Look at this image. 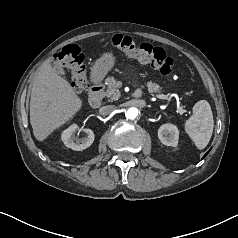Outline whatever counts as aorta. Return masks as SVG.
I'll use <instances>...</instances> for the list:
<instances>
[{
    "mask_svg": "<svg viewBox=\"0 0 238 238\" xmlns=\"http://www.w3.org/2000/svg\"><path fill=\"white\" fill-rule=\"evenodd\" d=\"M139 114V110L135 107H130L125 115H126V118L130 119V120H134Z\"/></svg>",
    "mask_w": 238,
    "mask_h": 238,
    "instance_id": "aorta-1",
    "label": "aorta"
}]
</instances>
